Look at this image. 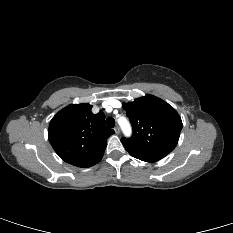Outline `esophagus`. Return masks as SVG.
Listing matches in <instances>:
<instances>
[{"instance_id": "obj_1", "label": "esophagus", "mask_w": 233, "mask_h": 233, "mask_svg": "<svg viewBox=\"0 0 233 233\" xmlns=\"http://www.w3.org/2000/svg\"><path fill=\"white\" fill-rule=\"evenodd\" d=\"M114 131H115L116 134H119V133H120V128H119L118 126H116V127L114 128Z\"/></svg>"}]
</instances>
